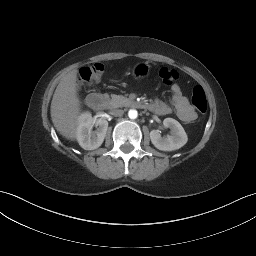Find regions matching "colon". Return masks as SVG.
Segmentation results:
<instances>
[{
	"mask_svg": "<svg viewBox=\"0 0 256 256\" xmlns=\"http://www.w3.org/2000/svg\"><path fill=\"white\" fill-rule=\"evenodd\" d=\"M103 70L104 67L101 63L85 66L80 69L78 79L82 84H90L101 77ZM159 78L163 84L171 85L178 79V73L174 69L163 67L159 71ZM191 101L198 112L203 114L207 111V99L202 86H194Z\"/></svg>",
	"mask_w": 256,
	"mask_h": 256,
	"instance_id": "colon-1",
	"label": "colon"
}]
</instances>
